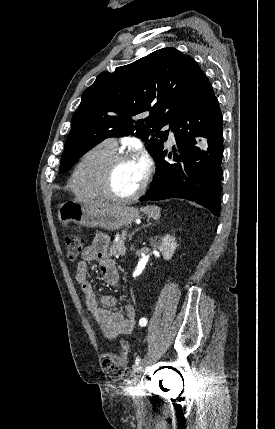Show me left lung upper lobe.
<instances>
[{"mask_svg": "<svg viewBox=\"0 0 275 429\" xmlns=\"http://www.w3.org/2000/svg\"><path fill=\"white\" fill-rule=\"evenodd\" d=\"M202 70L189 55L163 48L114 73L102 72L82 94L72 117L60 173L108 137L130 134L142 139L155 158L163 149L168 131L189 103ZM150 111L148 117L144 113Z\"/></svg>", "mask_w": 275, "mask_h": 429, "instance_id": "obj_1", "label": "left lung upper lobe"}]
</instances>
